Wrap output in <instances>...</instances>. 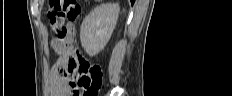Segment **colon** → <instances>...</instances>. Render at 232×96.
I'll return each mask as SVG.
<instances>
[{
  "label": "colon",
  "mask_w": 232,
  "mask_h": 96,
  "mask_svg": "<svg viewBox=\"0 0 232 96\" xmlns=\"http://www.w3.org/2000/svg\"><path fill=\"white\" fill-rule=\"evenodd\" d=\"M80 14L81 7L76 0H50L48 18L59 42H66L72 36L73 30H69L68 26L73 25ZM63 53L67 57V72L76 74L74 95L97 96L103 80L102 68L81 56L69 43Z\"/></svg>",
  "instance_id": "obj_1"
}]
</instances>
